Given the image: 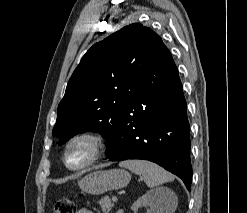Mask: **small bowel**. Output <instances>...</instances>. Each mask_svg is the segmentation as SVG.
<instances>
[{
  "mask_svg": "<svg viewBox=\"0 0 247 213\" xmlns=\"http://www.w3.org/2000/svg\"><path fill=\"white\" fill-rule=\"evenodd\" d=\"M77 213H94V212H92V211H90L88 209H80V210L77 211Z\"/></svg>",
  "mask_w": 247,
  "mask_h": 213,
  "instance_id": "c3829d8e",
  "label": "small bowel"
}]
</instances>
